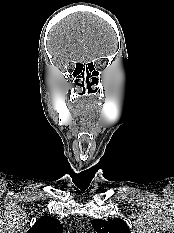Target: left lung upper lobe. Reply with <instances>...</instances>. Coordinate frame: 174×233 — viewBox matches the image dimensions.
<instances>
[{
    "mask_svg": "<svg viewBox=\"0 0 174 233\" xmlns=\"http://www.w3.org/2000/svg\"><path fill=\"white\" fill-rule=\"evenodd\" d=\"M92 227L97 233H131L127 224L120 218L108 221L94 219L92 220Z\"/></svg>",
    "mask_w": 174,
    "mask_h": 233,
    "instance_id": "left-lung-upper-lobe-1",
    "label": "left lung upper lobe"
}]
</instances>
